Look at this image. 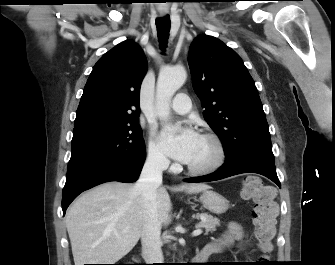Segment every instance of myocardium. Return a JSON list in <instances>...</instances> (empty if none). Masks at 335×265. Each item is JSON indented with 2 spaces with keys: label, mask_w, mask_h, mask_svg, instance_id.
Masks as SVG:
<instances>
[{
  "label": "myocardium",
  "mask_w": 335,
  "mask_h": 265,
  "mask_svg": "<svg viewBox=\"0 0 335 265\" xmlns=\"http://www.w3.org/2000/svg\"><path fill=\"white\" fill-rule=\"evenodd\" d=\"M201 137L206 138L212 141L216 147V157L215 159L207 166L204 167H193L187 165V171L196 176H205L216 172L226 160V147L222 139L215 133L205 132L201 134Z\"/></svg>",
  "instance_id": "1"
}]
</instances>
